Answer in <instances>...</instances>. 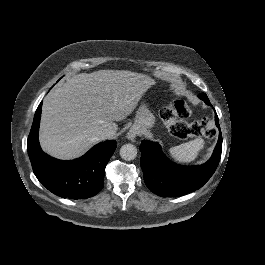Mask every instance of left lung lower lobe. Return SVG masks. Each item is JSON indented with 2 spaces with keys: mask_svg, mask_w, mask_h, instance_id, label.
Wrapping results in <instances>:
<instances>
[{
  "mask_svg": "<svg viewBox=\"0 0 265 265\" xmlns=\"http://www.w3.org/2000/svg\"><path fill=\"white\" fill-rule=\"evenodd\" d=\"M198 97L211 106L205 93ZM215 121L219 127L216 112ZM140 151L141 167L147 187L158 196L178 197L199 189L213 175L221 157V131L212 157L201 166L177 165L166 158L158 143L149 140L141 142Z\"/></svg>",
  "mask_w": 265,
  "mask_h": 265,
  "instance_id": "obj_1",
  "label": "left lung lower lobe"
}]
</instances>
